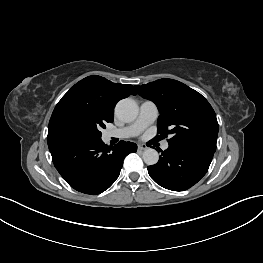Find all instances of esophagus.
I'll list each match as a JSON object with an SVG mask.
<instances>
[{
    "label": "esophagus",
    "mask_w": 263,
    "mask_h": 263,
    "mask_svg": "<svg viewBox=\"0 0 263 263\" xmlns=\"http://www.w3.org/2000/svg\"><path fill=\"white\" fill-rule=\"evenodd\" d=\"M148 147L145 145V144H139L138 145V150H140V151H144V150H146Z\"/></svg>",
    "instance_id": "esophagus-1"
}]
</instances>
